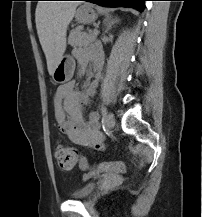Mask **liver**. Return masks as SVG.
I'll return each instance as SVG.
<instances>
[{
    "instance_id": "6515ba94",
    "label": "liver",
    "mask_w": 202,
    "mask_h": 217,
    "mask_svg": "<svg viewBox=\"0 0 202 217\" xmlns=\"http://www.w3.org/2000/svg\"><path fill=\"white\" fill-rule=\"evenodd\" d=\"M78 3L40 2L35 12L36 28L40 44L47 60L50 75L63 58L66 50V32Z\"/></svg>"
}]
</instances>
